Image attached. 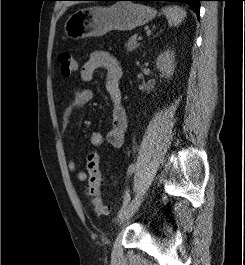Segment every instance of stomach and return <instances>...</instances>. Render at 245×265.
Instances as JSON below:
<instances>
[{
  "instance_id": "stomach-1",
  "label": "stomach",
  "mask_w": 245,
  "mask_h": 265,
  "mask_svg": "<svg viewBox=\"0 0 245 265\" xmlns=\"http://www.w3.org/2000/svg\"><path fill=\"white\" fill-rule=\"evenodd\" d=\"M156 14L154 8L133 2H117L107 7L89 6L72 13L64 30L74 40L99 37L111 30L131 31L151 21Z\"/></svg>"
}]
</instances>
